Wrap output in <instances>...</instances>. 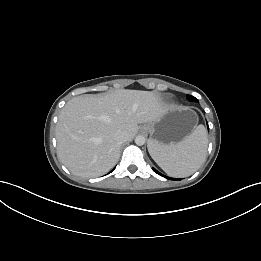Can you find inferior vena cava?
<instances>
[{
	"instance_id": "602c4592",
	"label": "inferior vena cava",
	"mask_w": 261,
	"mask_h": 261,
	"mask_svg": "<svg viewBox=\"0 0 261 261\" xmlns=\"http://www.w3.org/2000/svg\"><path fill=\"white\" fill-rule=\"evenodd\" d=\"M114 138L115 140H117L119 143H123L126 141V134L125 132L118 130L117 132H115L114 134Z\"/></svg>"
}]
</instances>
